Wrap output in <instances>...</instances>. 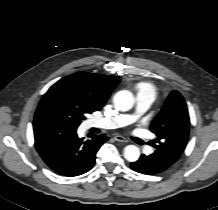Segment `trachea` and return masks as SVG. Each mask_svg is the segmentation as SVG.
I'll return each mask as SVG.
<instances>
[{
    "label": "trachea",
    "mask_w": 218,
    "mask_h": 210,
    "mask_svg": "<svg viewBox=\"0 0 218 210\" xmlns=\"http://www.w3.org/2000/svg\"><path fill=\"white\" fill-rule=\"evenodd\" d=\"M137 143H139V144H143V141L140 140V139H138V140H137Z\"/></svg>",
    "instance_id": "1"
}]
</instances>
